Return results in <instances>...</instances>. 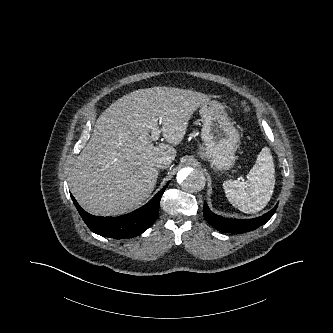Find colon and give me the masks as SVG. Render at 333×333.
<instances>
[{"label":"colon","instance_id":"1","mask_svg":"<svg viewBox=\"0 0 333 333\" xmlns=\"http://www.w3.org/2000/svg\"><path fill=\"white\" fill-rule=\"evenodd\" d=\"M241 109L243 110V111H247L248 110V106H247V104L246 103H241Z\"/></svg>","mask_w":333,"mask_h":333}]
</instances>
